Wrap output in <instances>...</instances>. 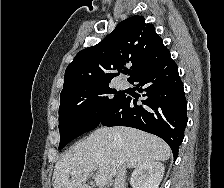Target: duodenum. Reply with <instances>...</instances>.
I'll list each match as a JSON object with an SVG mask.
<instances>
[{
	"label": "duodenum",
	"mask_w": 224,
	"mask_h": 188,
	"mask_svg": "<svg viewBox=\"0 0 224 188\" xmlns=\"http://www.w3.org/2000/svg\"><path fill=\"white\" fill-rule=\"evenodd\" d=\"M85 188H93V187H91V186H86Z\"/></svg>",
	"instance_id": "obj_1"
}]
</instances>
